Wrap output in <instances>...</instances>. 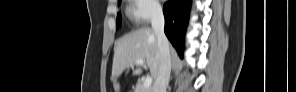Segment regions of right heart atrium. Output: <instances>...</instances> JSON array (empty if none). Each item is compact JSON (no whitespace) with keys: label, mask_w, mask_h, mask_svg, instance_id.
I'll use <instances>...</instances> for the list:
<instances>
[{"label":"right heart atrium","mask_w":296,"mask_h":92,"mask_svg":"<svg viewBox=\"0 0 296 92\" xmlns=\"http://www.w3.org/2000/svg\"><path fill=\"white\" fill-rule=\"evenodd\" d=\"M161 14L158 1L134 0L130 2L128 15L138 24H145Z\"/></svg>","instance_id":"d8ad5b80"}]
</instances>
